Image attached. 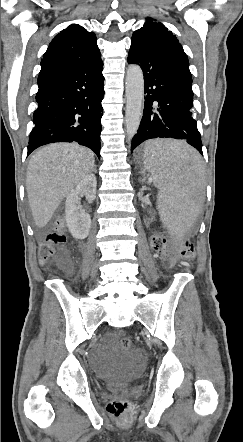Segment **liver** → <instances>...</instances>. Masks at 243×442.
Returning a JSON list of instances; mask_svg holds the SVG:
<instances>
[{"instance_id":"1","label":"liver","mask_w":243,"mask_h":442,"mask_svg":"<svg viewBox=\"0 0 243 442\" xmlns=\"http://www.w3.org/2000/svg\"><path fill=\"white\" fill-rule=\"evenodd\" d=\"M93 152L77 143H54L32 155L26 190L35 225L45 227L62 200L94 168Z\"/></svg>"}]
</instances>
